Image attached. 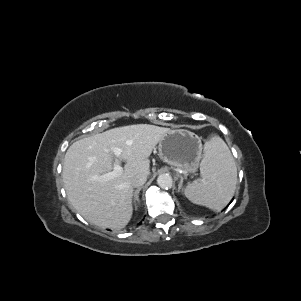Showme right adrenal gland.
Instances as JSON below:
<instances>
[{"mask_svg":"<svg viewBox=\"0 0 301 301\" xmlns=\"http://www.w3.org/2000/svg\"><path fill=\"white\" fill-rule=\"evenodd\" d=\"M142 189V187L137 188L133 193V202L135 204V208H137V204H139V192Z\"/></svg>","mask_w":301,"mask_h":301,"instance_id":"right-adrenal-gland-1","label":"right adrenal gland"}]
</instances>
